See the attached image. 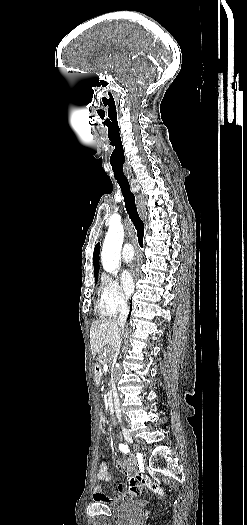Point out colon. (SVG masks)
<instances>
[{"mask_svg": "<svg viewBox=\"0 0 247 525\" xmlns=\"http://www.w3.org/2000/svg\"><path fill=\"white\" fill-rule=\"evenodd\" d=\"M96 424L98 427H100V430L102 432H105L107 430V427H106L107 421L105 418L103 417L98 418L96 421Z\"/></svg>", "mask_w": 247, "mask_h": 525, "instance_id": "5ec220e1", "label": "colon"}]
</instances>
